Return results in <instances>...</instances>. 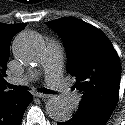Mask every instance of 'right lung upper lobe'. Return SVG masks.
<instances>
[{
    "mask_svg": "<svg viewBox=\"0 0 125 125\" xmlns=\"http://www.w3.org/2000/svg\"><path fill=\"white\" fill-rule=\"evenodd\" d=\"M27 24H3L0 23V99L12 95L14 91H5L6 81L4 79L7 70V61L10 55V43L14 35L22 31Z\"/></svg>",
    "mask_w": 125,
    "mask_h": 125,
    "instance_id": "1",
    "label": "right lung upper lobe"
}]
</instances>
